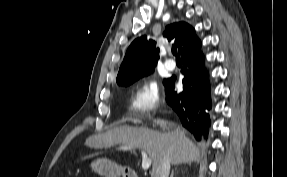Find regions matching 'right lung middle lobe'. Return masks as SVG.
<instances>
[{"label":"right lung middle lobe","instance_id":"right-lung-middle-lobe-1","mask_svg":"<svg viewBox=\"0 0 287 177\" xmlns=\"http://www.w3.org/2000/svg\"><path fill=\"white\" fill-rule=\"evenodd\" d=\"M151 73V72H150ZM150 73H148V74H150ZM148 74H146V75H148ZM145 76V75H144ZM143 77V76H142ZM141 78V77H140ZM139 79V78H138ZM138 79H135V80H131V81H127V82H122V83H118L119 85H121V86H128V85H130V84H132L133 82H135L136 80H138Z\"/></svg>","mask_w":287,"mask_h":177}]
</instances>
